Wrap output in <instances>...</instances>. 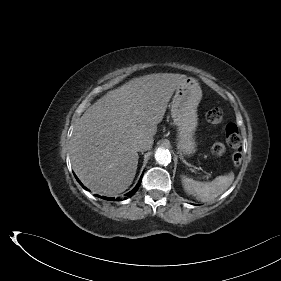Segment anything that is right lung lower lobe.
<instances>
[{
  "label": "right lung lower lobe",
  "mask_w": 281,
  "mask_h": 281,
  "mask_svg": "<svg viewBox=\"0 0 281 281\" xmlns=\"http://www.w3.org/2000/svg\"><path fill=\"white\" fill-rule=\"evenodd\" d=\"M75 178H76L77 181L82 185V183L80 182V180L77 178L76 175H75ZM141 180H142V177L140 178V180H139L138 184L135 186V188L132 189L130 192H128V193L126 194L127 197H131V196H133V195L136 193V191L138 190V188H139V186H140V184H141ZM82 186H83V185H82ZM83 188L86 189V190H88V189H87L86 187H84V186H83ZM95 196L100 197V198L105 199V200L119 201V199H115V198H107V197L99 196V195H95Z\"/></svg>",
  "instance_id": "1"
}]
</instances>
